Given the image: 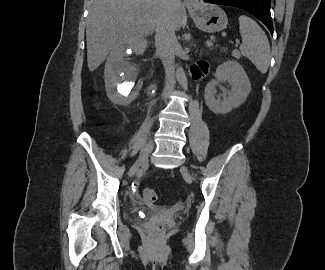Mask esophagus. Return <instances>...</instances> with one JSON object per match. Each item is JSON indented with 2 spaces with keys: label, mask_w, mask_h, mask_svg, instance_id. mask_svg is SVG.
Masks as SVG:
<instances>
[{
  "label": "esophagus",
  "mask_w": 325,
  "mask_h": 270,
  "mask_svg": "<svg viewBox=\"0 0 325 270\" xmlns=\"http://www.w3.org/2000/svg\"><path fill=\"white\" fill-rule=\"evenodd\" d=\"M184 3L188 9H194L198 7L199 0H184Z\"/></svg>",
  "instance_id": "34e87169"
}]
</instances>
